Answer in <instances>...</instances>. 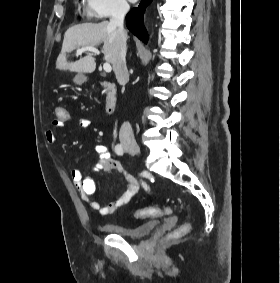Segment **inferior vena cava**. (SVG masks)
<instances>
[{
	"label": "inferior vena cava",
	"instance_id": "1",
	"mask_svg": "<svg viewBox=\"0 0 280 283\" xmlns=\"http://www.w3.org/2000/svg\"><path fill=\"white\" fill-rule=\"evenodd\" d=\"M130 6L128 3L121 1L119 2L112 13L110 18V25L117 28L120 38V51L115 67V75L118 83L125 84L129 80V74L126 66V39L127 35L123 27L124 17L129 11ZM119 139L121 144L126 145H136L133 130L129 122H124L119 131Z\"/></svg>",
	"mask_w": 280,
	"mask_h": 283
}]
</instances>
